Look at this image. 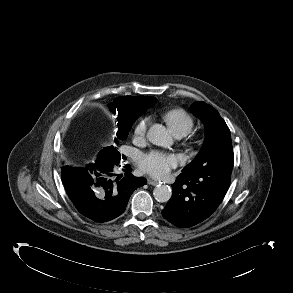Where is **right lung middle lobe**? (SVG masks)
<instances>
[{
	"label": "right lung middle lobe",
	"instance_id": "1",
	"mask_svg": "<svg viewBox=\"0 0 293 293\" xmlns=\"http://www.w3.org/2000/svg\"><path fill=\"white\" fill-rule=\"evenodd\" d=\"M136 119H130V120H126L124 122H121L119 125H118V132H117V137L118 139L120 140H124L127 135H128V132L133 124V122L135 121ZM115 142L117 143V140H115ZM108 148V152L115 158H120V154L119 152L113 147H107Z\"/></svg>",
	"mask_w": 293,
	"mask_h": 293
}]
</instances>
